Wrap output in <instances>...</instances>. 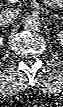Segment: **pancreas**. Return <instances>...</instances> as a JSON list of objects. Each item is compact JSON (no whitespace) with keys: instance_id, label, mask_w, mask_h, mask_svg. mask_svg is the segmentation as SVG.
I'll return each mask as SVG.
<instances>
[{"instance_id":"1","label":"pancreas","mask_w":63,"mask_h":107,"mask_svg":"<svg viewBox=\"0 0 63 107\" xmlns=\"http://www.w3.org/2000/svg\"><path fill=\"white\" fill-rule=\"evenodd\" d=\"M53 6H55L58 9H61L63 7V1L62 0H51Z\"/></svg>"}]
</instances>
